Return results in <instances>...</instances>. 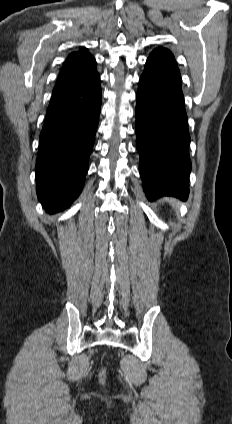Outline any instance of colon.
<instances>
[{
    "label": "colon",
    "instance_id": "colon-1",
    "mask_svg": "<svg viewBox=\"0 0 232 424\" xmlns=\"http://www.w3.org/2000/svg\"><path fill=\"white\" fill-rule=\"evenodd\" d=\"M100 379H101L102 381L105 379V373H104V372H101V373H100Z\"/></svg>",
    "mask_w": 232,
    "mask_h": 424
}]
</instances>
